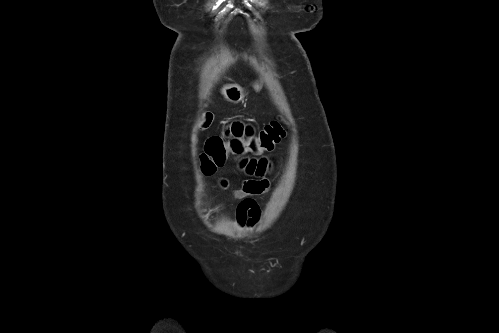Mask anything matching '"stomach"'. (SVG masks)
Returning a JSON list of instances; mask_svg holds the SVG:
<instances>
[{"mask_svg": "<svg viewBox=\"0 0 499 333\" xmlns=\"http://www.w3.org/2000/svg\"><path fill=\"white\" fill-rule=\"evenodd\" d=\"M256 90L260 89L259 83L254 84ZM222 94L228 101L232 103H238L244 98L243 89L239 85H227L222 88Z\"/></svg>", "mask_w": 499, "mask_h": 333, "instance_id": "1", "label": "stomach"}]
</instances>
